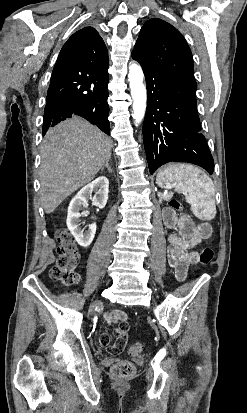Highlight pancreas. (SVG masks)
I'll use <instances>...</instances> for the list:
<instances>
[{
	"instance_id": "pancreas-1",
	"label": "pancreas",
	"mask_w": 247,
	"mask_h": 413,
	"mask_svg": "<svg viewBox=\"0 0 247 413\" xmlns=\"http://www.w3.org/2000/svg\"><path fill=\"white\" fill-rule=\"evenodd\" d=\"M159 196V202H162V200H169L171 196H173V192H168V194H163V192H158Z\"/></svg>"
}]
</instances>
